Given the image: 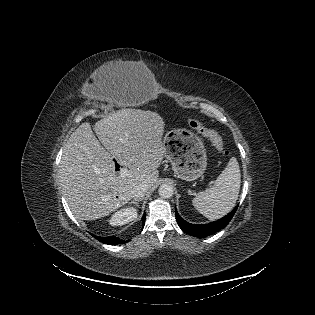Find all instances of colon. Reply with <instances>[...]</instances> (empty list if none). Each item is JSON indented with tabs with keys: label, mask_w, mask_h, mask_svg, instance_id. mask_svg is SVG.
Segmentation results:
<instances>
[{
	"label": "colon",
	"mask_w": 315,
	"mask_h": 315,
	"mask_svg": "<svg viewBox=\"0 0 315 315\" xmlns=\"http://www.w3.org/2000/svg\"><path fill=\"white\" fill-rule=\"evenodd\" d=\"M189 124L202 136L207 138L211 142L213 147L218 151V153H220L222 156L228 155L229 152L226 150L222 137L219 135L218 132L206 127L202 122L195 119L189 120Z\"/></svg>",
	"instance_id": "colon-1"
}]
</instances>
